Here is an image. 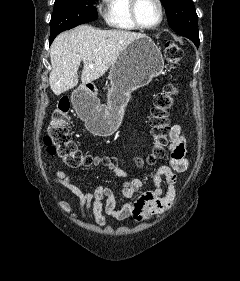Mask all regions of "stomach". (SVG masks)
I'll use <instances>...</instances> for the list:
<instances>
[{"label": "stomach", "mask_w": 240, "mask_h": 281, "mask_svg": "<svg viewBox=\"0 0 240 281\" xmlns=\"http://www.w3.org/2000/svg\"><path fill=\"white\" fill-rule=\"evenodd\" d=\"M163 68L161 51L150 37L144 35L131 42L111 66L107 104L95 101L85 88L87 100L77 110L87 128L95 135L113 134L121 124L130 93L149 84Z\"/></svg>", "instance_id": "stomach-1"}]
</instances>
